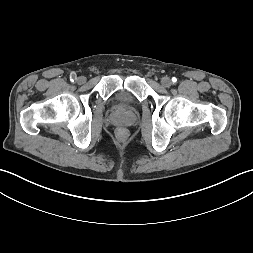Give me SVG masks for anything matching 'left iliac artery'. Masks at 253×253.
<instances>
[{"instance_id":"obj_1","label":"left iliac artery","mask_w":253,"mask_h":253,"mask_svg":"<svg viewBox=\"0 0 253 253\" xmlns=\"http://www.w3.org/2000/svg\"><path fill=\"white\" fill-rule=\"evenodd\" d=\"M177 79L175 77L172 78V82L175 83Z\"/></svg>"}]
</instances>
